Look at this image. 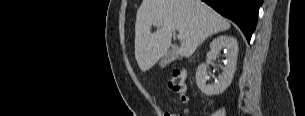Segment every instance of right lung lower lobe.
<instances>
[{"instance_id": "obj_1", "label": "right lung lower lobe", "mask_w": 305, "mask_h": 116, "mask_svg": "<svg viewBox=\"0 0 305 116\" xmlns=\"http://www.w3.org/2000/svg\"><path fill=\"white\" fill-rule=\"evenodd\" d=\"M226 18L235 22L248 42L255 30L263 0H202Z\"/></svg>"}]
</instances>
